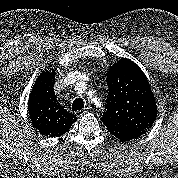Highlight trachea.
Wrapping results in <instances>:
<instances>
[{
  "label": "trachea",
  "mask_w": 178,
  "mask_h": 178,
  "mask_svg": "<svg viewBox=\"0 0 178 178\" xmlns=\"http://www.w3.org/2000/svg\"><path fill=\"white\" fill-rule=\"evenodd\" d=\"M84 107V101L81 98H76L72 103V110L79 111L82 110Z\"/></svg>",
  "instance_id": "1"
}]
</instances>
